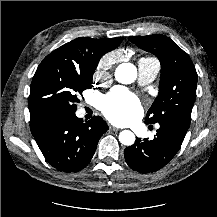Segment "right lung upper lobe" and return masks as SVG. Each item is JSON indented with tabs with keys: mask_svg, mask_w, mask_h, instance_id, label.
<instances>
[{
	"mask_svg": "<svg viewBox=\"0 0 217 217\" xmlns=\"http://www.w3.org/2000/svg\"><path fill=\"white\" fill-rule=\"evenodd\" d=\"M122 37L92 39L80 37L51 52L45 59H53L76 68H95L102 55L115 49Z\"/></svg>",
	"mask_w": 217,
	"mask_h": 217,
	"instance_id": "1",
	"label": "right lung upper lobe"
}]
</instances>
